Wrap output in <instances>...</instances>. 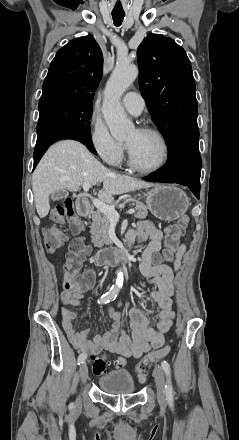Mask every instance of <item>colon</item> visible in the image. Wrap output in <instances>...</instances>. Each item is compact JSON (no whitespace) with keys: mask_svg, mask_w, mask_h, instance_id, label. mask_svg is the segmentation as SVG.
<instances>
[{"mask_svg":"<svg viewBox=\"0 0 239 440\" xmlns=\"http://www.w3.org/2000/svg\"><path fill=\"white\" fill-rule=\"evenodd\" d=\"M53 219L57 222H63L67 220L70 224L72 231L78 234L83 229L82 221L77 214L74 205L71 200H67L64 205L59 206L53 213ZM190 218L187 215L182 216L176 223L168 227L165 240V249L161 256L158 257V261L162 259L172 258L176 251L179 239L183 236L186 228L188 227ZM45 246L49 253L56 252L61 246L64 240V235L55 228H47L44 231ZM86 250L85 245L81 240H76L71 250L67 255V260L64 265L65 276L72 281L77 282L79 279V273L83 265V252ZM170 351V346L165 345L162 348H158L154 351L146 354L139 364L137 365V374L140 381L145 380L146 371L145 366L151 362L157 361L165 357ZM109 362L104 355L96 356L93 360L92 370L94 374L101 375L107 372Z\"/></svg>","mask_w":239,"mask_h":440,"instance_id":"obj_1","label":"colon"}]
</instances>
